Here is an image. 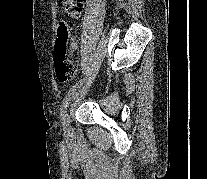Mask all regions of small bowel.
<instances>
[{
	"label": "small bowel",
	"mask_w": 207,
	"mask_h": 179,
	"mask_svg": "<svg viewBox=\"0 0 207 179\" xmlns=\"http://www.w3.org/2000/svg\"><path fill=\"white\" fill-rule=\"evenodd\" d=\"M84 3L82 1H77L76 5V10L69 16L71 19H77L80 17L82 9H83ZM72 49L76 50L77 49V43L73 42L72 43Z\"/></svg>",
	"instance_id": "small-bowel-1"
}]
</instances>
